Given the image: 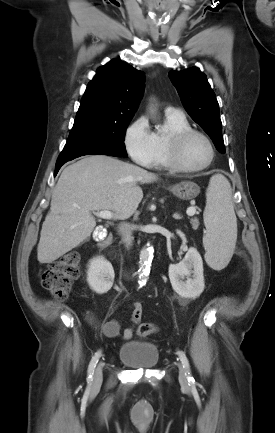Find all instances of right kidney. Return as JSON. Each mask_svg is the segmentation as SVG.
I'll return each instance as SVG.
<instances>
[{"label": "right kidney", "mask_w": 275, "mask_h": 433, "mask_svg": "<svg viewBox=\"0 0 275 433\" xmlns=\"http://www.w3.org/2000/svg\"><path fill=\"white\" fill-rule=\"evenodd\" d=\"M114 270L109 261L104 257L93 258L87 271V281L90 288L98 294L108 292L114 281Z\"/></svg>", "instance_id": "obj_1"}]
</instances>
